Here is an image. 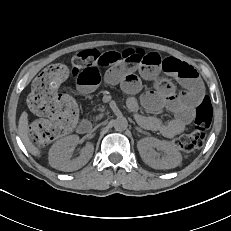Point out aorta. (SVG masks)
I'll use <instances>...</instances> for the list:
<instances>
[{"mask_svg":"<svg viewBox=\"0 0 231 231\" xmlns=\"http://www.w3.org/2000/svg\"><path fill=\"white\" fill-rule=\"evenodd\" d=\"M114 129L116 131H124L128 127V121L125 117H117L113 122Z\"/></svg>","mask_w":231,"mask_h":231,"instance_id":"762f6f07","label":"aorta"}]
</instances>
